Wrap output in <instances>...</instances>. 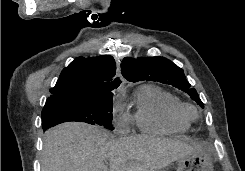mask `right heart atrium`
Here are the masks:
<instances>
[{"mask_svg": "<svg viewBox=\"0 0 245 171\" xmlns=\"http://www.w3.org/2000/svg\"><path fill=\"white\" fill-rule=\"evenodd\" d=\"M112 115L115 128L120 132H125L130 122V118L124 112L119 102L114 103Z\"/></svg>", "mask_w": 245, "mask_h": 171, "instance_id": "1", "label": "right heart atrium"}]
</instances>
